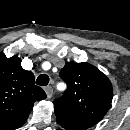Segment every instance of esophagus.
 <instances>
[{"label":"esophagus","instance_id":"1","mask_svg":"<svg viewBox=\"0 0 130 130\" xmlns=\"http://www.w3.org/2000/svg\"><path fill=\"white\" fill-rule=\"evenodd\" d=\"M45 92L47 94V98L50 99L53 94V88L51 86H47V87H45Z\"/></svg>","mask_w":130,"mask_h":130}]
</instances>
